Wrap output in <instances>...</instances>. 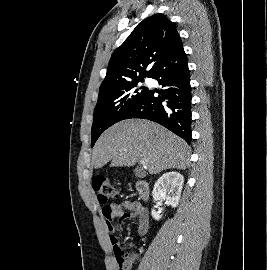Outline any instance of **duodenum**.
<instances>
[{
	"mask_svg": "<svg viewBox=\"0 0 267 270\" xmlns=\"http://www.w3.org/2000/svg\"><path fill=\"white\" fill-rule=\"evenodd\" d=\"M138 197L141 201H147L149 198V186L145 180L138 179L136 181Z\"/></svg>",
	"mask_w": 267,
	"mask_h": 270,
	"instance_id": "1",
	"label": "duodenum"
}]
</instances>
